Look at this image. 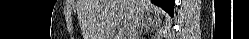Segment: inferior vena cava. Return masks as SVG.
<instances>
[{
  "instance_id": "obj_1",
  "label": "inferior vena cava",
  "mask_w": 249,
  "mask_h": 39,
  "mask_svg": "<svg viewBox=\"0 0 249 39\" xmlns=\"http://www.w3.org/2000/svg\"><path fill=\"white\" fill-rule=\"evenodd\" d=\"M142 19H143V14L140 12H137L134 18V21L132 23V26L126 30L127 39H136L138 30L140 29V24H141Z\"/></svg>"
}]
</instances>
